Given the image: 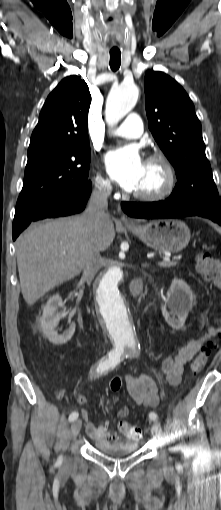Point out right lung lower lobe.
I'll use <instances>...</instances> for the list:
<instances>
[{
	"label": "right lung lower lobe",
	"mask_w": 221,
	"mask_h": 510,
	"mask_svg": "<svg viewBox=\"0 0 221 510\" xmlns=\"http://www.w3.org/2000/svg\"><path fill=\"white\" fill-rule=\"evenodd\" d=\"M91 193V182L72 193L48 204L28 218H19L16 214L13 221V240L32 222L44 218L67 216L81 212Z\"/></svg>",
	"instance_id": "obj_1"
}]
</instances>
